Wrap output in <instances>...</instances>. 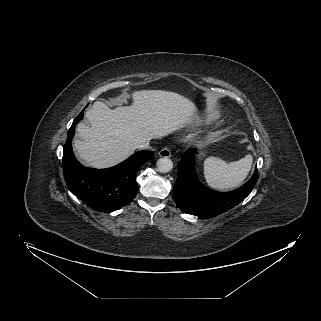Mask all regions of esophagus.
Here are the masks:
<instances>
[{"mask_svg":"<svg viewBox=\"0 0 321 321\" xmlns=\"http://www.w3.org/2000/svg\"><path fill=\"white\" fill-rule=\"evenodd\" d=\"M160 157H170L171 156V151L168 147H165L161 149L158 153Z\"/></svg>","mask_w":321,"mask_h":321,"instance_id":"esophagus-1","label":"esophagus"}]
</instances>
